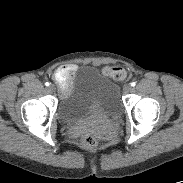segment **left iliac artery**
I'll use <instances>...</instances> for the list:
<instances>
[{"instance_id": "1", "label": "left iliac artery", "mask_w": 183, "mask_h": 183, "mask_svg": "<svg viewBox=\"0 0 183 183\" xmlns=\"http://www.w3.org/2000/svg\"><path fill=\"white\" fill-rule=\"evenodd\" d=\"M135 85H136V83H135V82H132V83H131V86H132V87H134Z\"/></svg>"}]
</instances>
